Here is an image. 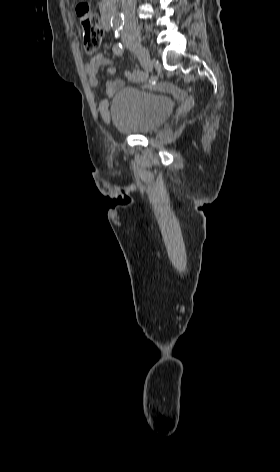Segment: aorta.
Wrapping results in <instances>:
<instances>
[{"label":"aorta","mask_w":280,"mask_h":472,"mask_svg":"<svg viewBox=\"0 0 280 472\" xmlns=\"http://www.w3.org/2000/svg\"><path fill=\"white\" fill-rule=\"evenodd\" d=\"M124 24V14L122 12L116 13L112 20H111V25L114 28H120Z\"/></svg>","instance_id":"1"}]
</instances>
